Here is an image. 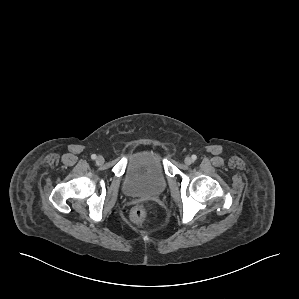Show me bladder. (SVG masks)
I'll return each mask as SVG.
<instances>
[{
    "instance_id": "31cf9c89",
    "label": "bladder",
    "mask_w": 299,
    "mask_h": 299,
    "mask_svg": "<svg viewBox=\"0 0 299 299\" xmlns=\"http://www.w3.org/2000/svg\"><path fill=\"white\" fill-rule=\"evenodd\" d=\"M167 187V176L160 154L154 149L135 153L125 170L122 191L130 197H152L162 194Z\"/></svg>"
}]
</instances>
